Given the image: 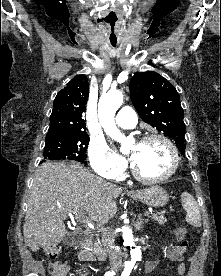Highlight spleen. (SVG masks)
Masks as SVG:
<instances>
[{
    "instance_id": "1",
    "label": "spleen",
    "mask_w": 221,
    "mask_h": 276,
    "mask_svg": "<svg viewBox=\"0 0 221 276\" xmlns=\"http://www.w3.org/2000/svg\"><path fill=\"white\" fill-rule=\"evenodd\" d=\"M182 199V206L186 211L185 220L189 225L193 227H200L201 226V215L199 211V207L197 202L195 201L194 197L188 193L184 192L181 196Z\"/></svg>"
}]
</instances>
